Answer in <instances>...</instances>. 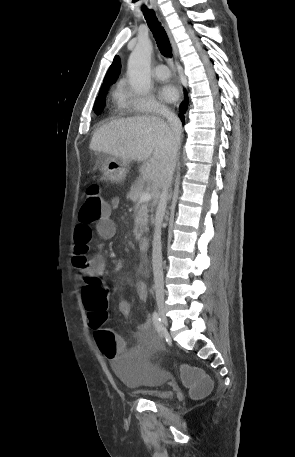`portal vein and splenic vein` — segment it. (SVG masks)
I'll return each instance as SVG.
<instances>
[{"instance_id":"obj_1","label":"portal vein and splenic vein","mask_w":295,"mask_h":457,"mask_svg":"<svg viewBox=\"0 0 295 457\" xmlns=\"http://www.w3.org/2000/svg\"><path fill=\"white\" fill-rule=\"evenodd\" d=\"M152 197V194L150 192H143L141 195H140V199L139 201L140 202H145V201H149Z\"/></svg>"}]
</instances>
